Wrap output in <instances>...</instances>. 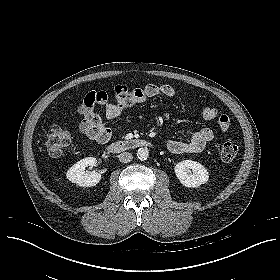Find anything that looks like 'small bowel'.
<instances>
[{"label": "small bowel", "instance_id": "c3829d8e", "mask_svg": "<svg viewBox=\"0 0 280 280\" xmlns=\"http://www.w3.org/2000/svg\"><path fill=\"white\" fill-rule=\"evenodd\" d=\"M116 101H112L105 91L88 92L83 102L78 106L77 112L82 117L79 125L81 133L90 136V130L98 128L107 131L106 139H98L101 142L107 141L111 136L110 129L103 123L99 112L95 110V106L99 105L108 120L118 118L125 109L145 103L148 98H153L158 95L166 97H174L177 94L176 89L168 84L156 85L153 83L147 84L142 88L129 90L125 85L115 87ZM214 109L205 108L202 112L203 117L211 119L208 114ZM225 132L226 129L220 128ZM214 138V133L210 128H202L190 137L187 141L169 140L167 142V150L174 154L195 152L203 149Z\"/></svg>", "mask_w": 280, "mask_h": 280}]
</instances>
